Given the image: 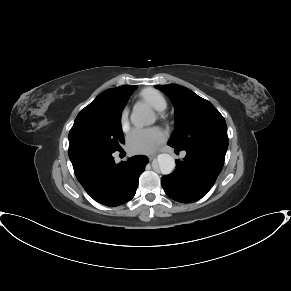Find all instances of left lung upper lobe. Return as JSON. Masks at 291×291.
Masks as SVG:
<instances>
[{
  "label": "left lung upper lobe",
  "instance_id": "5c2ea615",
  "mask_svg": "<svg viewBox=\"0 0 291 291\" xmlns=\"http://www.w3.org/2000/svg\"><path fill=\"white\" fill-rule=\"evenodd\" d=\"M172 101L176 129L168 145L183 150L193 145L228 146L224 117L207 100L180 85H156Z\"/></svg>",
  "mask_w": 291,
  "mask_h": 291
}]
</instances>
